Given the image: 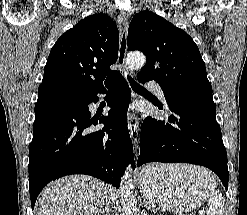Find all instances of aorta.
<instances>
[{
	"mask_svg": "<svg viewBox=\"0 0 247 215\" xmlns=\"http://www.w3.org/2000/svg\"><path fill=\"white\" fill-rule=\"evenodd\" d=\"M146 58L145 55L139 52L129 53L126 59L127 64L131 68H142L145 64ZM132 170L131 165H129L120 182V193L123 207V215H140L135 196L133 194L134 185L131 179Z\"/></svg>",
	"mask_w": 247,
	"mask_h": 215,
	"instance_id": "1",
	"label": "aorta"
}]
</instances>
